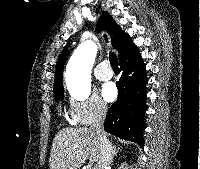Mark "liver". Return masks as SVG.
Segmentation results:
<instances>
[{"mask_svg":"<svg viewBox=\"0 0 200 169\" xmlns=\"http://www.w3.org/2000/svg\"><path fill=\"white\" fill-rule=\"evenodd\" d=\"M100 146L97 134L91 128H64L52 143L49 169H80L89 160H99Z\"/></svg>","mask_w":200,"mask_h":169,"instance_id":"1","label":"liver"}]
</instances>
